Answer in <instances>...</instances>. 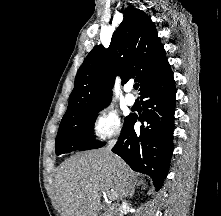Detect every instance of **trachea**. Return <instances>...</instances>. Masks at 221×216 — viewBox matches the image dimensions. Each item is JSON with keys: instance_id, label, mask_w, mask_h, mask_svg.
<instances>
[{"instance_id": "obj_1", "label": "trachea", "mask_w": 221, "mask_h": 216, "mask_svg": "<svg viewBox=\"0 0 221 216\" xmlns=\"http://www.w3.org/2000/svg\"><path fill=\"white\" fill-rule=\"evenodd\" d=\"M138 88H139V84L138 83L134 84V89L137 90Z\"/></svg>"}]
</instances>
